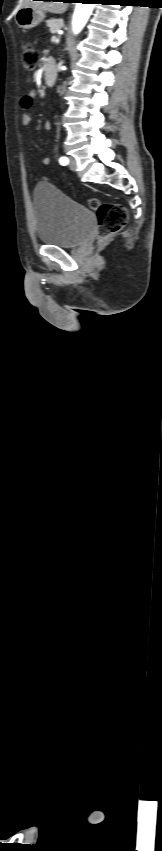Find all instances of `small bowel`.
Returning a JSON list of instances; mask_svg holds the SVG:
<instances>
[{
  "mask_svg": "<svg viewBox=\"0 0 162 851\" xmlns=\"http://www.w3.org/2000/svg\"><path fill=\"white\" fill-rule=\"evenodd\" d=\"M35 97H36V92H35V91H30L28 94H26L24 97H22V99H21V101H20V107H21L23 110H28V109H30V108L32 107V105H33V102H34ZM30 122H31V117H30V115H29L28 113H23V114H22V116H21V123H22V125L26 127V126H28V125L30 124ZM50 126H51V123H50V122H47V123L45 124V129H49V128H50ZM42 163H43L44 165H49V164H50V159H49L48 157H44V158H43V160H42Z\"/></svg>",
  "mask_w": 162,
  "mask_h": 851,
  "instance_id": "small-bowel-1",
  "label": "small bowel"
}]
</instances>
